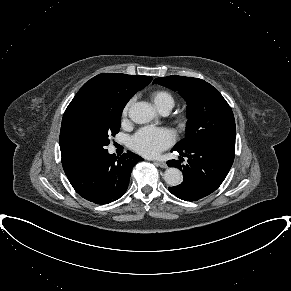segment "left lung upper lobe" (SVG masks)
<instances>
[{"mask_svg":"<svg viewBox=\"0 0 291 291\" xmlns=\"http://www.w3.org/2000/svg\"><path fill=\"white\" fill-rule=\"evenodd\" d=\"M154 83L178 91L187 101V132L174 149H184L211 140H235L233 112L211 84L201 79L177 75L156 78Z\"/></svg>","mask_w":291,"mask_h":291,"instance_id":"1","label":"left lung upper lobe"}]
</instances>
